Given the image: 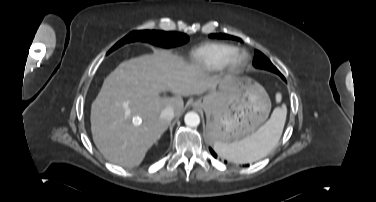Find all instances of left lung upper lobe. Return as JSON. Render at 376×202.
Segmentation results:
<instances>
[{
  "mask_svg": "<svg viewBox=\"0 0 376 202\" xmlns=\"http://www.w3.org/2000/svg\"><path fill=\"white\" fill-rule=\"evenodd\" d=\"M210 38L232 39V40H238L240 42L242 41L238 37H234V36L227 35V34H211ZM253 65L256 68L266 69V70L272 71L274 73H277L280 77L283 76L279 72V70L270 62V60L265 55H263L261 52H259L257 50L255 51V57H254Z\"/></svg>",
  "mask_w": 376,
  "mask_h": 202,
  "instance_id": "left-lung-upper-lobe-1",
  "label": "left lung upper lobe"
}]
</instances>
